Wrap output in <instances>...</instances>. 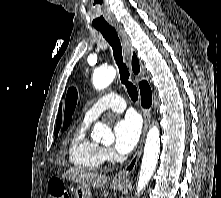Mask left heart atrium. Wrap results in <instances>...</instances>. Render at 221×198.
I'll return each instance as SVG.
<instances>
[{"instance_id": "left-heart-atrium-1", "label": "left heart atrium", "mask_w": 221, "mask_h": 198, "mask_svg": "<svg viewBox=\"0 0 221 198\" xmlns=\"http://www.w3.org/2000/svg\"><path fill=\"white\" fill-rule=\"evenodd\" d=\"M141 132V124L135 115H127L114 126V147L120 154L130 153L137 145Z\"/></svg>"}]
</instances>
